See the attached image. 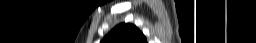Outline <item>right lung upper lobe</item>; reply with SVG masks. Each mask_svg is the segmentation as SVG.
<instances>
[{
	"instance_id": "right-lung-upper-lobe-1",
	"label": "right lung upper lobe",
	"mask_w": 256,
	"mask_h": 43,
	"mask_svg": "<svg viewBox=\"0 0 256 43\" xmlns=\"http://www.w3.org/2000/svg\"><path fill=\"white\" fill-rule=\"evenodd\" d=\"M101 43H147V40L136 26L122 23L110 31Z\"/></svg>"
}]
</instances>
